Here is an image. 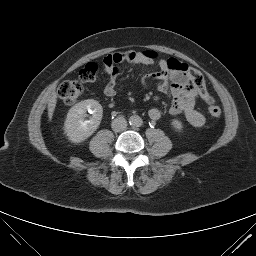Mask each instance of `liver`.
<instances>
[{"label": "liver", "instance_id": "1", "mask_svg": "<svg viewBox=\"0 0 256 256\" xmlns=\"http://www.w3.org/2000/svg\"><path fill=\"white\" fill-rule=\"evenodd\" d=\"M57 103V94L53 93L48 103V117L51 121Z\"/></svg>", "mask_w": 256, "mask_h": 256}]
</instances>
